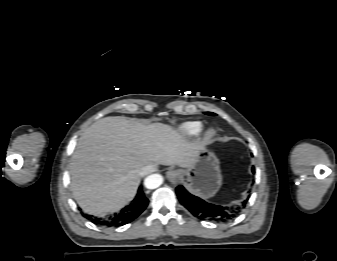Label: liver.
Listing matches in <instances>:
<instances>
[{"mask_svg": "<svg viewBox=\"0 0 337 261\" xmlns=\"http://www.w3.org/2000/svg\"><path fill=\"white\" fill-rule=\"evenodd\" d=\"M201 147L169 125L102 118L82 133L71 158L73 197L88 214L116 212L134 198L144 167H192Z\"/></svg>", "mask_w": 337, "mask_h": 261, "instance_id": "6515ba94", "label": "liver"}]
</instances>
